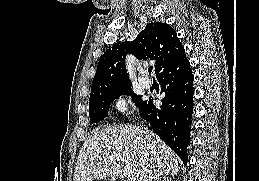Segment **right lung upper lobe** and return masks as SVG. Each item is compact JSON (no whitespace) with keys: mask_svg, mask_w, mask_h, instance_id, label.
Returning <instances> with one entry per match:
<instances>
[{"mask_svg":"<svg viewBox=\"0 0 259 181\" xmlns=\"http://www.w3.org/2000/svg\"><path fill=\"white\" fill-rule=\"evenodd\" d=\"M184 51L171 26L159 22L149 23L135 40L117 43L102 55L92 82L90 98L108 91L131 87L125 65L128 53L139 60H155L157 75Z\"/></svg>","mask_w":259,"mask_h":181,"instance_id":"right-lung-upper-lobe-1","label":"right lung upper lobe"}]
</instances>
